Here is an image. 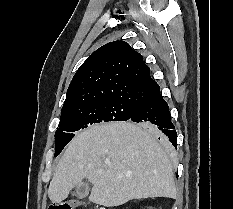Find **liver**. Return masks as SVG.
<instances>
[{"instance_id": "obj_1", "label": "liver", "mask_w": 233, "mask_h": 209, "mask_svg": "<svg viewBox=\"0 0 233 209\" xmlns=\"http://www.w3.org/2000/svg\"><path fill=\"white\" fill-rule=\"evenodd\" d=\"M154 127L132 122L93 125L69 143L56 167L48 195L60 203L87 178L89 201L105 207L132 199L166 197L177 191L173 168Z\"/></svg>"}]
</instances>
